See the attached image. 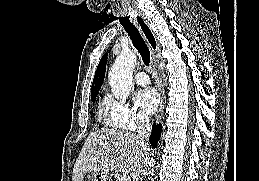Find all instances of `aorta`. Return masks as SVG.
<instances>
[{
	"mask_svg": "<svg viewBox=\"0 0 259 181\" xmlns=\"http://www.w3.org/2000/svg\"><path fill=\"white\" fill-rule=\"evenodd\" d=\"M137 62L136 54L124 49L114 61L108 79L113 96L120 101H126L134 88L132 75Z\"/></svg>",
	"mask_w": 259,
	"mask_h": 181,
	"instance_id": "obj_1",
	"label": "aorta"
}]
</instances>
